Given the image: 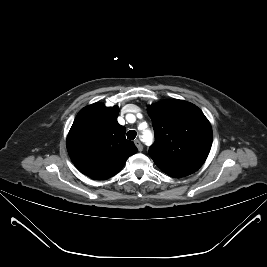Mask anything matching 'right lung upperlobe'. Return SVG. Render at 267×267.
Masks as SVG:
<instances>
[{
    "label": "right lung upper lobe",
    "instance_id": "right-lung-upper-lobe-1",
    "mask_svg": "<svg viewBox=\"0 0 267 267\" xmlns=\"http://www.w3.org/2000/svg\"><path fill=\"white\" fill-rule=\"evenodd\" d=\"M119 108L94 103L76 116L67 137V150L77 169L93 179H108L137 152L117 122Z\"/></svg>",
    "mask_w": 267,
    "mask_h": 267
}]
</instances>
